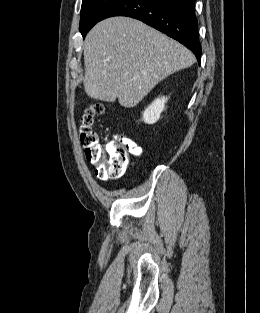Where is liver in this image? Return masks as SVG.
<instances>
[{"instance_id": "1", "label": "liver", "mask_w": 260, "mask_h": 313, "mask_svg": "<svg viewBox=\"0 0 260 313\" xmlns=\"http://www.w3.org/2000/svg\"><path fill=\"white\" fill-rule=\"evenodd\" d=\"M84 89L93 99L136 106L161 80L188 68L195 56L186 47L128 17L97 23L84 45Z\"/></svg>"}]
</instances>
